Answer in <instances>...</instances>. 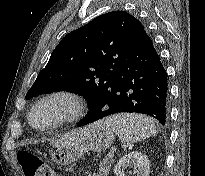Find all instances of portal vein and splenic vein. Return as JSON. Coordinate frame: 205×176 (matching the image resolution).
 I'll list each match as a JSON object with an SVG mask.
<instances>
[{"label": "portal vein and splenic vein", "mask_w": 205, "mask_h": 176, "mask_svg": "<svg viewBox=\"0 0 205 176\" xmlns=\"http://www.w3.org/2000/svg\"><path fill=\"white\" fill-rule=\"evenodd\" d=\"M113 156H114V150L112 149V150L109 152L108 157H109V158H113Z\"/></svg>", "instance_id": "18ae733b"}]
</instances>
